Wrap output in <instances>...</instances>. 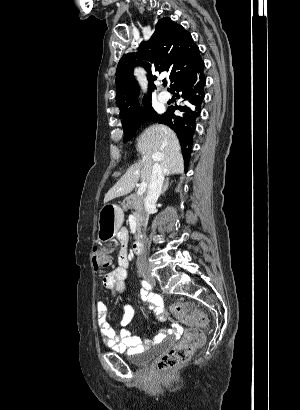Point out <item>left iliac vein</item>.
<instances>
[{"label": "left iliac vein", "mask_w": 300, "mask_h": 410, "mask_svg": "<svg viewBox=\"0 0 300 410\" xmlns=\"http://www.w3.org/2000/svg\"><path fill=\"white\" fill-rule=\"evenodd\" d=\"M152 285H155V282H154V281L152 282Z\"/></svg>", "instance_id": "left-iliac-vein-1"}]
</instances>
